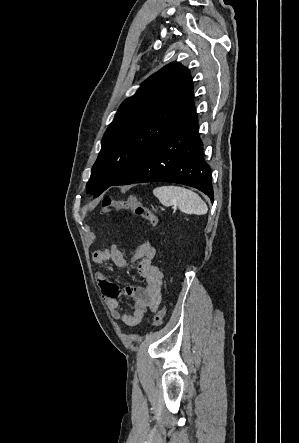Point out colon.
<instances>
[{
  "label": "colon",
  "mask_w": 299,
  "mask_h": 443,
  "mask_svg": "<svg viewBox=\"0 0 299 443\" xmlns=\"http://www.w3.org/2000/svg\"><path fill=\"white\" fill-rule=\"evenodd\" d=\"M111 211H126L143 219L156 226L158 218L148 208H146L136 195H129L121 200H114L110 197H105L101 204V214H106ZM166 315V307L162 306L156 313L152 325L158 327L162 324Z\"/></svg>",
  "instance_id": "obj_1"
}]
</instances>
